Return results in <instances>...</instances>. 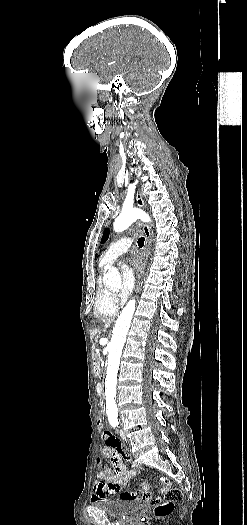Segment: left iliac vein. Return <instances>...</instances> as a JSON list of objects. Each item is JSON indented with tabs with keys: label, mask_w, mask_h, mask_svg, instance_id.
Here are the masks:
<instances>
[{
	"label": "left iliac vein",
	"mask_w": 247,
	"mask_h": 525,
	"mask_svg": "<svg viewBox=\"0 0 247 525\" xmlns=\"http://www.w3.org/2000/svg\"><path fill=\"white\" fill-rule=\"evenodd\" d=\"M119 434H120L122 439H124V440L126 439V435H125V433L122 430H120Z\"/></svg>",
	"instance_id": "1"
}]
</instances>
